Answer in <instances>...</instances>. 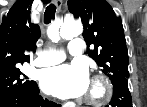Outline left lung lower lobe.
Listing matches in <instances>:
<instances>
[{
    "label": "left lung lower lobe",
    "mask_w": 147,
    "mask_h": 107,
    "mask_svg": "<svg viewBox=\"0 0 147 107\" xmlns=\"http://www.w3.org/2000/svg\"><path fill=\"white\" fill-rule=\"evenodd\" d=\"M106 107H132V98L127 79H121L113 83V97L109 106Z\"/></svg>",
    "instance_id": "0a47b994"
}]
</instances>
